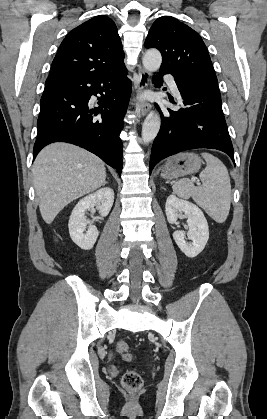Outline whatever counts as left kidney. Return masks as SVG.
<instances>
[{
  "label": "left kidney",
  "instance_id": "left-kidney-1",
  "mask_svg": "<svg viewBox=\"0 0 267 419\" xmlns=\"http://www.w3.org/2000/svg\"><path fill=\"white\" fill-rule=\"evenodd\" d=\"M165 212L170 224L177 222L178 212H183L187 217L189 228L187 236L192 243L186 242V234L181 230L175 231L173 238L187 257H196L204 249L209 238L208 223L201 209L189 201L170 195L166 200Z\"/></svg>",
  "mask_w": 267,
  "mask_h": 419
}]
</instances>
